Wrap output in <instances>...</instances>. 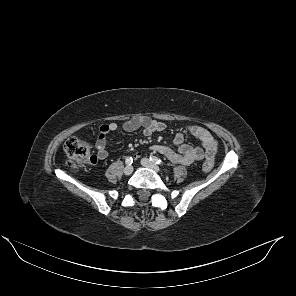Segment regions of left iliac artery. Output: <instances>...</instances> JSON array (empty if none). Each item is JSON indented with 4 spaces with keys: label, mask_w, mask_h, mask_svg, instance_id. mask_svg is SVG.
<instances>
[{
    "label": "left iliac artery",
    "mask_w": 296,
    "mask_h": 296,
    "mask_svg": "<svg viewBox=\"0 0 296 296\" xmlns=\"http://www.w3.org/2000/svg\"><path fill=\"white\" fill-rule=\"evenodd\" d=\"M150 160H151L152 162H154L155 164H158V165H162V164H163L162 160L159 159V158L156 157V156H150Z\"/></svg>",
    "instance_id": "1"
}]
</instances>
